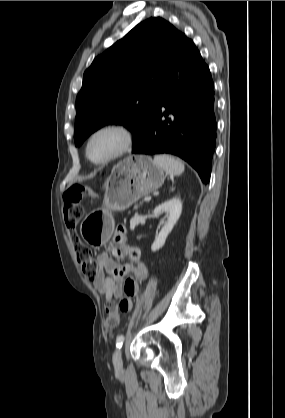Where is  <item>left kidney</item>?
I'll return each mask as SVG.
<instances>
[{
  "label": "left kidney",
  "mask_w": 285,
  "mask_h": 418,
  "mask_svg": "<svg viewBox=\"0 0 285 418\" xmlns=\"http://www.w3.org/2000/svg\"><path fill=\"white\" fill-rule=\"evenodd\" d=\"M181 212L182 203L180 199L176 197L165 201L154 209L155 216L159 217L162 213H165L167 219L151 246L152 251H157L164 246L166 238L180 218Z\"/></svg>",
  "instance_id": "obj_1"
}]
</instances>
